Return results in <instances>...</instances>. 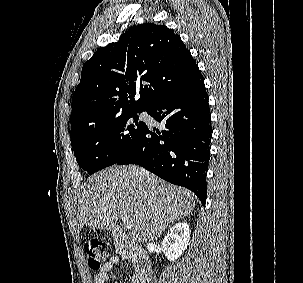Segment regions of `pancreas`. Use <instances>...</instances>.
Instances as JSON below:
<instances>
[{"instance_id": "1", "label": "pancreas", "mask_w": 303, "mask_h": 283, "mask_svg": "<svg viewBox=\"0 0 303 283\" xmlns=\"http://www.w3.org/2000/svg\"><path fill=\"white\" fill-rule=\"evenodd\" d=\"M119 248H120V250H121V253L123 254V256L125 257V258H130V259H132V256L130 255V254H128V249H127V246L125 245H120L119 246Z\"/></svg>"}]
</instances>
